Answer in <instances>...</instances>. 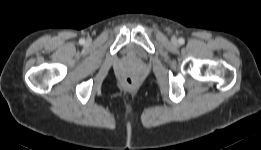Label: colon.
Here are the masks:
<instances>
[{
	"mask_svg": "<svg viewBox=\"0 0 261 150\" xmlns=\"http://www.w3.org/2000/svg\"><path fill=\"white\" fill-rule=\"evenodd\" d=\"M136 84V80L135 78L133 77H127L125 78L124 80V85L127 87V88H133Z\"/></svg>",
	"mask_w": 261,
	"mask_h": 150,
	"instance_id": "5ec220e1",
	"label": "colon"
}]
</instances>
